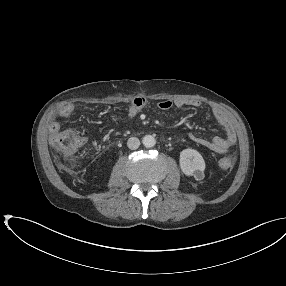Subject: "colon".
Returning <instances> with one entry per match:
<instances>
[{"label": "colon", "mask_w": 286, "mask_h": 286, "mask_svg": "<svg viewBox=\"0 0 286 286\" xmlns=\"http://www.w3.org/2000/svg\"><path fill=\"white\" fill-rule=\"evenodd\" d=\"M51 142L65 162H72L77 150L83 145L84 139L72 130L57 131L51 136ZM235 157L222 158L219 165L222 169H230L234 165Z\"/></svg>", "instance_id": "5ec220e1"}]
</instances>
